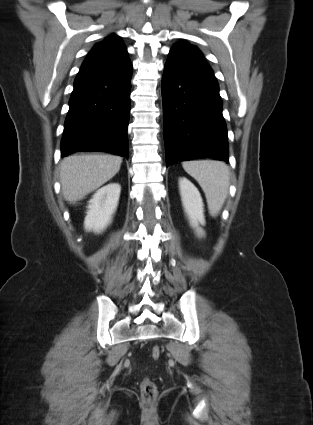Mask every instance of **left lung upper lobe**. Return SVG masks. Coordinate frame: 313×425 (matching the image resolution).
I'll list each match as a JSON object with an SVG mask.
<instances>
[{
	"label": "left lung upper lobe",
	"instance_id": "1",
	"mask_svg": "<svg viewBox=\"0 0 313 425\" xmlns=\"http://www.w3.org/2000/svg\"><path fill=\"white\" fill-rule=\"evenodd\" d=\"M169 56L178 58L182 62L191 66L212 70L211 67L207 64L201 51L196 46H193L186 41H181L174 44L169 52Z\"/></svg>",
	"mask_w": 313,
	"mask_h": 425
}]
</instances>
